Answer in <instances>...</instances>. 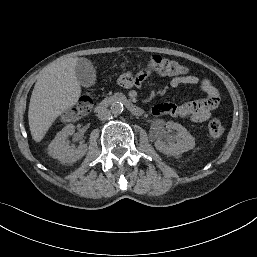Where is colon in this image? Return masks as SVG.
I'll return each instance as SVG.
<instances>
[{
	"label": "colon",
	"mask_w": 257,
	"mask_h": 257,
	"mask_svg": "<svg viewBox=\"0 0 257 257\" xmlns=\"http://www.w3.org/2000/svg\"><path fill=\"white\" fill-rule=\"evenodd\" d=\"M154 65L158 71V75L162 76H177L186 72V68L177 61L163 58L161 56L155 55L150 58L147 62ZM122 68H128L126 62L121 63ZM91 107V97L90 93L86 92L77 102L73 109L66 112V117L73 120L86 112L89 111ZM224 133V127L220 120L212 119L207 125V137L210 140L219 139Z\"/></svg>",
	"instance_id": "5ec220e1"
}]
</instances>
